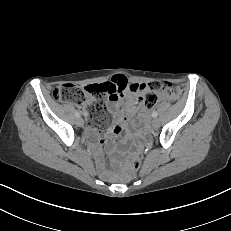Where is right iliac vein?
<instances>
[{
	"instance_id": "right-iliac-vein-1",
	"label": "right iliac vein",
	"mask_w": 231,
	"mask_h": 231,
	"mask_svg": "<svg viewBox=\"0 0 231 231\" xmlns=\"http://www.w3.org/2000/svg\"><path fill=\"white\" fill-rule=\"evenodd\" d=\"M76 124L77 126L82 127L84 125V120L81 117H78L76 119Z\"/></svg>"
}]
</instances>
